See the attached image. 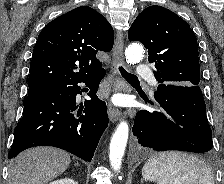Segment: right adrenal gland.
<instances>
[{"mask_svg":"<svg viewBox=\"0 0 224 184\" xmlns=\"http://www.w3.org/2000/svg\"><path fill=\"white\" fill-rule=\"evenodd\" d=\"M76 166H79V163H75Z\"/></svg>","mask_w":224,"mask_h":184,"instance_id":"obj_1","label":"right adrenal gland"}]
</instances>
